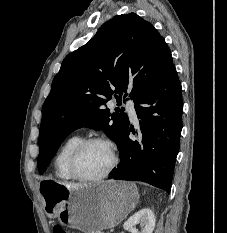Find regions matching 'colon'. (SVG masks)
Masks as SVG:
<instances>
[{"label": "colon", "instance_id": "5ec220e1", "mask_svg": "<svg viewBox=\"0 0 227 233\" xmlns=\"http://www.w3.org/2000/svg\"><path fill=\"white\" fill-rule=\"evenodd\" d=\"M53 233H72V232L68 231L62 226L57 225L53 228Z\"/></svg>", "mask_w": 227, "mask_h": 233}]
</instances>
